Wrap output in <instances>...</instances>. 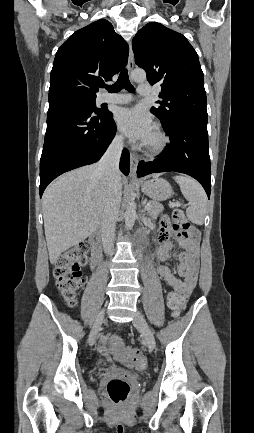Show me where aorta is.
I'll use <instances>...</instances> for the list:
<instances>
[{
  "mask_svg": "<svg viewBox=\"0 0 254 433\" xmlns=\"http://www.w3.org/2000/svg\"><path fill=\"white\" fill-rule=\"evenodd\" d=\"M131 79L135 82H144L146 80V73L141 69L134 70L131 73ZM136 219V204L131 200L125 211V226L127 229H131L134 226Z\"/></svg>",
  "mask_w": 254,
  "mask_h": 433,
  "instance_id": "obj_1",
  "label": "aorta"
}]
</instances>
